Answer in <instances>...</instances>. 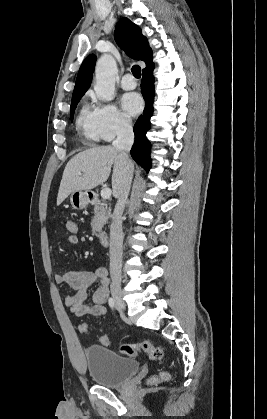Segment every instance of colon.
<instances>
[{
    "instance_id": "1",
    "label": "colon",
    "mask_w": 267,
    "mask_h": 419,
    "mask_svg": "<svg viewBox=\"0 0 267 419\" xmlns=\"http://www.w3.org/2000/svg\"><path fill=\"white\" fill-rule=\"evenodd\" d=\"M66 230L69 234L68 240L71 244H77L79 242V227L75 221H67L65 224ZM79 331L83 334L88 332V325L82 323L79 326ZM101 344L108 346L110 344V338L108 335H103L100 339ZM120 350L123 354L128 356H136L138 352H145L149 358L153 361H160L163 356V350L161 347L156 346L150 341H142L139 343H124L120 346ZM169 378L168 372H162L159 377L152 378V381H157L159 379Z\"/></svg>"
}]
</instances>
